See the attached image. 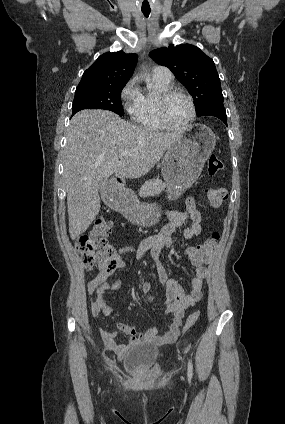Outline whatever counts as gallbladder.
<instances>
[{"mask_svg":"<svg viewBox=\"0 0 285 424\" xmlns=\"http://www.w3.org/2000/svg\"><path fill=\"white\" fill-rule=\"evenodd\" d=\"M109 184H110V181L108 179L101 180L99 182V189H100V191L103 192V190L105 189V187L107 185H109Z\"/></svg>","mask_w":285,"mask_h":424,"instance_id":"bac80fb5","label":"gallbladder"}]
</instances>
